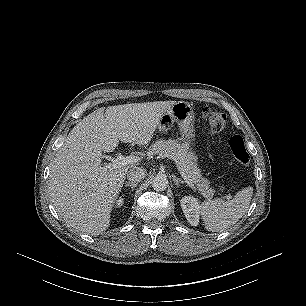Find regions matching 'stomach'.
I'll use <instances>...</instances> for the list:
<instances>
[{
	"label": "stomach",
	"instance_id": "0dacf381",
	"mask_svg": "<svg viewBox=\"0 0 306 306\" xmlns=\"http://www.w3.org/2000/svg\"><path fill=\"white\" fill-rule=\"evenodd\" d=\"M174 123H177L184 145L189 149L194 138V112L189 103L178 101L173 104L159 120L157 129L159 132H167Z\"/></svg>",
	"mask_w": 306,
	"mask_h": 306
}]
</instances>
